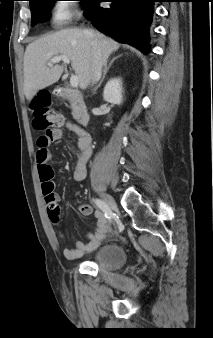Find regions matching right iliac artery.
Listing matches in <instances>:
<instances>
[{
  "label": "right iliac artery",
  "mask_w": 213,
  "mask_h": 338,
  "mask_svg": "<svg viewBox=\"0 0 213 338\" xmlns=\"http://www.w3.org/2000/svg\"><path fill=\"white\" fill-rule=\"evenodd\" d=\"M94 202L104 212L105 217L109 221V224H111L113 214L110 208L108 207V205H106V203L102 201L101 199H94Z\"/></svg>",
  "instance_id": "obj_1"
}]
</instances>
